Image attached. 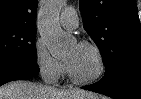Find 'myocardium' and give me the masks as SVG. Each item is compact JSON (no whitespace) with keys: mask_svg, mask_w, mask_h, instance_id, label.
Listing matches in <instances>:
<instances>
[{"mask_svg":"<svg viewBox=\"0 0 141 99\" xmlns=\"http://www.w3.org/2000/svg\"><path fill=\"white\" fill-rule=\"evenodd\" d=\"M78 45L88 47V48H90L94 51V53L96 54L97 59H98L99 69H98L97 73L90 78H79L74 74V72L72 71L69 63L67 61H65L67 73H68L71 81L76 83V84L88 85V84L95 83L100 78H102V76L104 75L105 70H106V62H105L103 52L101 51V49L99 48L98 45H96L95 43H93L91 41L83 40V41L79 42Z\"/></svg>","mask_w":141,"mask_h":99,"instance_id":"obj_1","label":"myocardium"}]
</instances>
